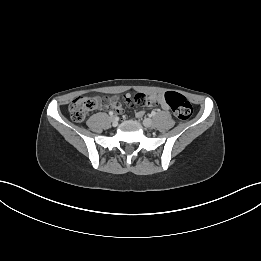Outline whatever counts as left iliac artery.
<instances>
[{"label": "left iliac artery", "mask_w": 261, "mask_h": 261, "mask_svg": "<svg viewBox=\"0 0 261 261\" xmlns=\"http://www.w3.org/2000/svg\"><path fill=\"white\" fill-rule=\"evenodd\" d=\"M150 115L151 116H155L156 115V111H152Z\"/></svg>", "instance_id": "44dca946"}]
</instances>
